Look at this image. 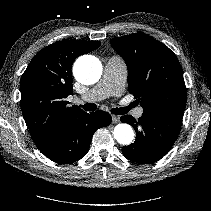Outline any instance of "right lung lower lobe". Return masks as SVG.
Here are the masks:
<instances>
[{"mask_svg": "<svg viewBox=\"0 0 211 211\" xmlns=\"http://www.w3.org/2000/svg\"><path fill=\"white\" fill-rule=\"evenodd\" d=\"M110 123L108 112L98 110L88 114L83 111L65 123L39 150L54 162L73 163L87 154L95 131Z\"/></svg>", "mask_w": 211, "mask_h": 211, "instance_id": "obj_1", "label": "right lung lower lobe"}]
</instances>
